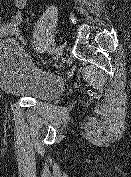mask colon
<instances>
[{
  "instance_id": "1",
  "label": "colon",
  "mask_w": 131,
  "mask_h": 177,
  "mask_svg": "<svg viewBox=\"0 0 131 177\" xmlns=\"http://www.w3.org/2000/svg\"><path fill=\"white\" fill-rule=\"evenodd\" d=\"M13 36L16 37L20 42L24 44L26 43V38L22 33L21 27L16 23L13 25Z\"/></svg>"
}]
</instances>
